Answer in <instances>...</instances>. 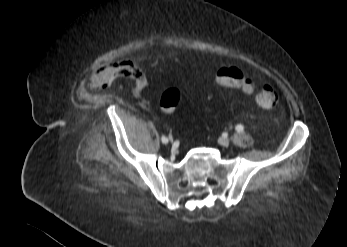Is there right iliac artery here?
<instances>
[{"instance_id": "right-iliac-artery-1", "label": "right iliac artery", "mask_w": 347, "mask_h": 247, "mask_svg": "<svg viewBox=\"0 0 347 247\" xmlns=\"http://www.w3.org/2000/svg\"><path fill=\"white\" fill-rule=\"evenodd\" d=\"M161 140L164 144L168 143V139L165 136H162Z\"/></svg>"}]
</instances>
